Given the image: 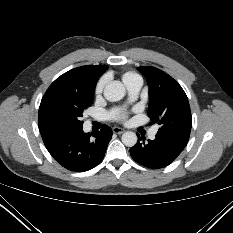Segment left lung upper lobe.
<instances>
[{
  "mask_svg": "<svg viewBox=\"0 0 233 233\" xmlns=\"http://www.w3.org/2000/svg\"><path fill=\"white\" fill-rule=\"evenodd\" d=\"M139 71L149 85L148 116L151 123H158V135L189 140L192 117L188 98L182 87L168 74L154 68L142 66Z\"/></svg>",
  "mask_w": 233,
  "mask_h": 233,
  "instance_id": "left-lung-upper-lobe-1",
  "label": "left lung upper lobe"
}]
</instances>
